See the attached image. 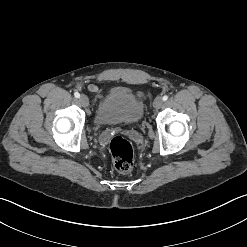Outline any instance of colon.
<instances>
[{
    "label": "colon",
    "instance_id": "obj_1",
    "mask_svg": "<svg viewBox=\"0 0 247 247\" xmlns=\"http://www.w3.org/2000/svg\"><path fill=\"white\" fill-rule=\"evenodd\" d=\"M115 168L122 173L129 172L133 167L134 149L132 144L122 136H114L108 145Z\"/></svg>",
    "mask_w": 247,
    "mask_h": 247
}]
</instances>
